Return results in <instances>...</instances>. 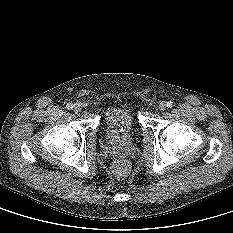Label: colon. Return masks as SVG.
<instances>
[{
	"label": "colon",
	"mask_w": 233,
	"mask_h": 233,
	"mask_svg": "<svg viewBox=\"0 0 233 233\" xmlns=\"http://www.w3.org/2000/svg\"><path fill=\"white\" fill-rule=\"evenodd\" d=\"M128 168H129V164L124 159H119L114 164L115 172L118 175H124L128 171Z\"/></svg>",
	"instance_id": "5ec220e1"
}]
</instances>
